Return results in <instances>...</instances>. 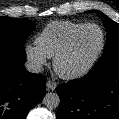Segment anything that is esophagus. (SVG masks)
<instances>
[{
  "label": "esophagus",
  "instance_id": "34e87169",
  "mask_svg": "<svg viewBox=\"0 0 119 119\" xmlns=\"http://www.w3.org/2000/svg\"><path fill=\"white\" fill-rule=\"evenodd\" d=\"M46 87H47L48 90H52L53 91V90L56 89L57 84L54 81L48 80L46 82Z\"/></svg>",
  "mask_w": 119,
  "mask_h": 119
}]
</instances>
